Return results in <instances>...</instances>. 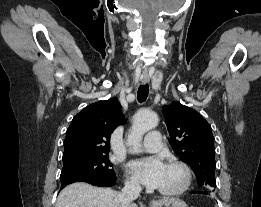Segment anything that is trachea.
I'll return each instance as SVG.
<instances>
[{
    "label": "trachea",
    "mask_w": 261,
    "mask_h": 207,
    "mask_svg": "<svg viewBox=\"0 0 261 207\" xmlns=\"http://www.w3.org/2000/svg\"><path fill=\"white\" fill-rule=\"evenodd\" d=\"M148 93H149V86L148 84L145 85H141L138 89V93H137V99L140 103L144 102L146 100V98L148 97Z\"/></svg>",
    "instance_id": "3493384b"
}]
</instances>
